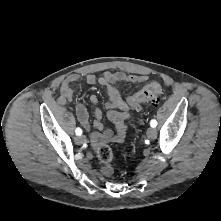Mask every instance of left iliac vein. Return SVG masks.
Returning <instances> with one entry per match:
<instances>
[{"label": "left iliac vein", "instance_id": "1", "mask_svg": "<svg viewBox=\"0 0 221 221\" xmlns=\"http://www.w3.org/2000/svg\"><path fill=\"white\" fill-rule=\"evenodd\" d=\"M146 135H147V138L149 140H154L157 137V131L153 127L152 128H148Z\"/></svg>", "mask_w": 221, "mask_h": 221}]
</instances>
